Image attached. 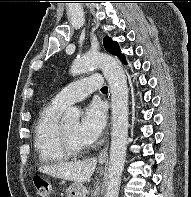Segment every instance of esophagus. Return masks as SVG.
<instances>
[{
	"label": "esophagus",
	"mask_w": 191,
	"mask_h": 197,
	"mask_svg": "<svg viewBox=\"0 0 191 197\" xmlns=\"http://www.w3.org/2000/svg\"><path fill=\"white\" fill-rule=\"evenodd\" d=\"M108 147H109V141L106 142L105 147L101 150L98 159L100 161H105L108 158Z\"/></svg>",
	"instance_id": "1"
}]
</instances>
